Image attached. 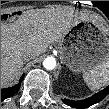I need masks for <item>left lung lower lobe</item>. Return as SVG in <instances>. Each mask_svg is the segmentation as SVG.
<instances>
[{"label": "left lung lower lobe", "instance_id": "0a47b994", "mask_svg": "<svg viewBox=\"0 0 109 109\" xmlns=\"http://www.w3.org/2000/svg\"><path fill=\"white\" fill-rule=\"evenodd\" d=\"M109 94V86L106 87L104 90L96 93L95 95L81 101H71V100H64V103L68 106L75 107L78 109L88 108L89 106L100 102Z\"/></svg>", "mask_w": 109, "mask_h": 109}]
</instances>
